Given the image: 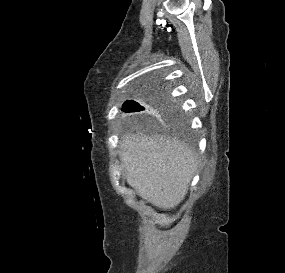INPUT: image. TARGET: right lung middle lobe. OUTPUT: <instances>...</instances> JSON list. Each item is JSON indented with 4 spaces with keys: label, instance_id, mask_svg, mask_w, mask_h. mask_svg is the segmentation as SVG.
I'll return each instance as SVG.
<instances>
[{
    "label": "right lung middle lobe",
    "instance_id": "dd1d6c3e",
    "mask_svg": "<svg viewBox=\"0 0 285 273\" xmlns=\"http://www.w3.org/2000/svg\"><path fill=\"white\" fill-rule=\"evenodd\" d=\"M144 100L151 104L152 107L160 108L161 112L164 115L163 121L166 124H169L173 127H181L183 124V120L180 116H178L170 102L166 99L165 92L161 91H154V94H151V92L145 94ZM124 111L125 112H140L136 115V120L142 121L144 123H147L151 120L150 115L143 113L142 111L145 110V108L140 105L138 102L135 101H126L123 104Z\"/></svg>",
    "mask_w": 285,
    "mask_h": 273
}]
</instances>
